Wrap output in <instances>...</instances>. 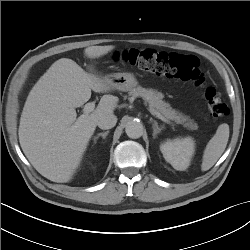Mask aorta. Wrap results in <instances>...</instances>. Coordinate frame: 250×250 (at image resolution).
Returning <instances> with one entry per match:
<instances>
[{"mask_svg": "<svg viewBox=\"0 0 250 250\" xmlns=\"http://www.w3.org/2000/svg\"><path fill=\"white\" fill-rule=\"evenodd\" d=\"M125 132L129 138L137 139L143 134V125L137 120H130L125 126Z\"/></svg>", "mask_w": 250, "mask_h": 250, "instance_id": "aorta-1", "label": "aorta"}]
</instances>
